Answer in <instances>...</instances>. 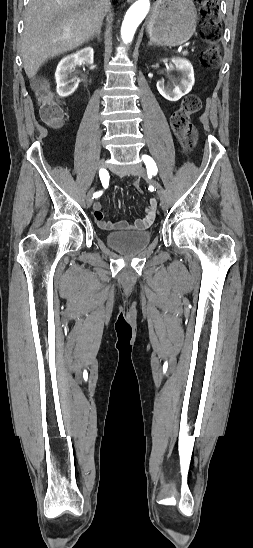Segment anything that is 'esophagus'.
Masks as SVG:
<instances>
[{
  "label": "esophagus",
  "mask_w": 253,
  "mask_h": 548,
  "mask_svg": "<svg viewBox=\"0 0 253 548\" xmlns=\"http://www.w3.org/2000/svg\"><path fill=\"white\" fill-rule=\"evenodd\" d=\"M134 1H135V0H127V2H129V3H132V2H134Z\"/></svg>",
  "instance_id": "esophagus-1"
}]
</instances>
